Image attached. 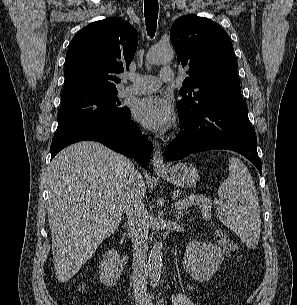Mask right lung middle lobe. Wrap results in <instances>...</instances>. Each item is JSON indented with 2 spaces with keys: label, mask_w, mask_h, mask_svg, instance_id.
<instances>
[{
  "label": "right lung middle lobe",
  "mask_w": 297,
  "mask_h": 305,
  "mask_svg": "<svg viewBox=\"0 0 297 305\" xmlns=\"http://www.w3.org/2000/svg\"><path fill=\"white\" fill-rule=\"evenodd\" d=\"M117 94L118 91L94 92L61 100L53 139L92 121L124 119L130 110L120 106Z\"/></svg>",
  "instance_id": "dd1d6c3e"
}]
</instances>
